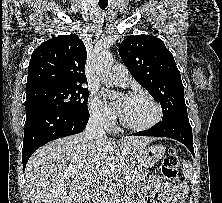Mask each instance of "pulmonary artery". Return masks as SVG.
<instances>
[{"mask_svg":"<svg viewBox=\"0 0 222 203\" xmlns=\"http://www.w3.org/2000/svg\"><path fill=\"white\" fill-rule=\"evenodd\" d=\"M110 79L114 84L124 86L129 80L128 70L123 65H115L110 72Z\"/></svg>","mask_w":222,"mask_h":203,"instance_id":"obj_1","label":"pulmonary artery"}]
</instances>
